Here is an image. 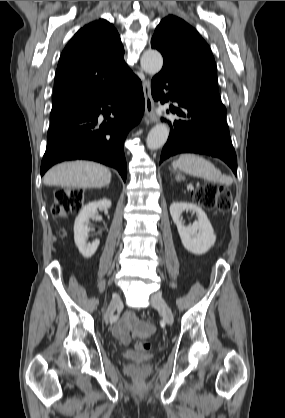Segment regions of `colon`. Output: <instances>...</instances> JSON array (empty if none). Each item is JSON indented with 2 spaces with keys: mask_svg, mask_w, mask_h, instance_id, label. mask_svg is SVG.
Returning <instances> with one entry per match:
<instances>
[{
  "mask_svg": "<svg viewBox=\"0 0 285 418\" xmlns=\"http://www.w3.org/2000/svg\"><path fill=\"white\" fill-rule=\"evenodd\" d=\"M193 199L207 209H218L227 212L231 208V194L216 184H205L193 192ZM83 203V193L80 190L59 189L55 192V202L52 205L51 213L55 217H64L79 212ZM63 235V231L60 232ZM138 351L144 352L150 349V344L144 341L135 345ZM137 385H141L137 381Z\"/></svg>",
  "mask_w": 285,
  "mask_h": 418,
  "instance_id": "5ec220e1",
  "label": "colon"
}]
</instances>
